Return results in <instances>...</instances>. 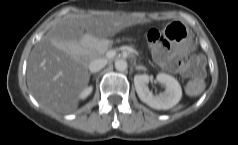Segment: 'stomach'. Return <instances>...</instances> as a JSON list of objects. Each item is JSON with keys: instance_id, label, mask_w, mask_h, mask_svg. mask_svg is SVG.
<instances>
[{"instance_id": "stomach-1", "label": "stomach", "mask_w": 238, "mask_h": 145, "mask_svg": "<svg viewBox=\"0 0 238 145\" xmlns=\"http://www.w3.org/2000/svg\"><path fill=\"white\" fill-rule=\"evenodd\" d=\"M163 34L179 50L194 49L192 34L179 21H168L163 27Z\"/></svg>"}]
</instances>
